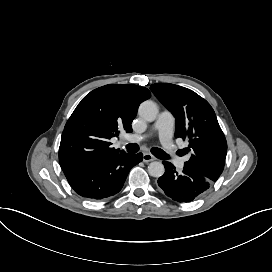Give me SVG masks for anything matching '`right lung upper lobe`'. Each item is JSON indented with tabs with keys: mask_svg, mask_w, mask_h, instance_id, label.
Returning <instances> with one entry per match:
<instances>
[{
	"mask_svg": "<svg viewBox=\"0 0 272 272\" xmlns=\"http://www.w3.org/2000/svg\"><path fill=\"white\" fill-rule=\"evenodd\" d=\"M150 96L148 89L131 84H109L91 91L78 104L62 133L59 148L62 170L123 153L112 148L109 139L120 130L132 131L139 104Z\"/></svg>",
	"mask_w": 272,
	"mask_h": 272,
	"instance_id": "obj_1",
	"label": "right lung upper lobe"
}]
</instances>
